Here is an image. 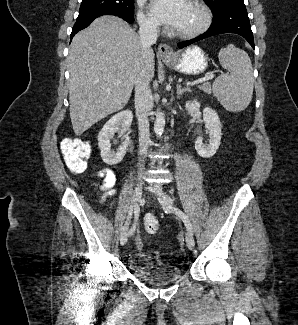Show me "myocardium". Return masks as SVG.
Masks as SVG:
<instances>
[{
    "instance_id": "myocardium-1",
    "label": "myocardium",
    "mask_w": 298,
    "mask_h": 325,
    "mask_svg": "<svg viewBox=\"0 0 298 325\" xmlns=\"http://www.w3.org/2000/svg\"><path fill=\"white\" fill-rule=\"evenodd\" d=\"M196 11L199 22L197 26L191 30L184 31V32H174L170 30V34L173 37L177 38H193L200 34H202L209 25V16L205 8L197 1V0H186Z\"/></svg>"
}]
</instances>
